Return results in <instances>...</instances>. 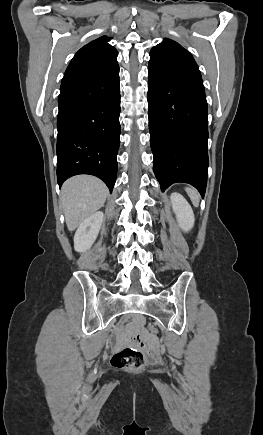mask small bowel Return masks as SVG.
Wrapping results in <instances>:
<instances>
[{
	"label": "small bowel",
	"mask_w": 263,
	"mask_h": 435,
	"mask_svg": "<svg viewBox=\"0 0 263 435\" xmlns=\"http://www.w3.org/2000/svg\"><path fill=\"white\" fill-rule=\"evenodd\" d=\"M145 322L146 321L143 316H138L136 318V323L138 325H145ZM154 339L155 334L153 332H144L143 338L142 336H133L132 343L133 345H137L139 350H147L150 361H160L161 354L158 352L159 343L157 341H153ZM116 342L118 346H123L128 343V338L121 331L117 334Z\"/></svg>",
	"instance_id": "c3829d8e"
}]
</instances>
